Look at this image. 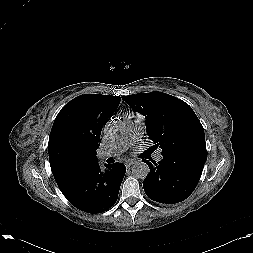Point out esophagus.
Listing matches in <instances>:
<instances>
[{
  "label": "esophagus",
  "mask_w": 253,
  "mask_h": 253,
  "mask_svg": "<svg viewBox=\"0 0 253 253\" xmlns=\"http://www.w3.org/2000/svg\"><path fill=\"white\" fill-rule=\"evenodd\" d=\"M134 163H135L134 160H127V161L125 162V166H126L127 168H129V167H131Z\"/></svg>",
  "instance_id": "obj_1"
}]
</instances>
